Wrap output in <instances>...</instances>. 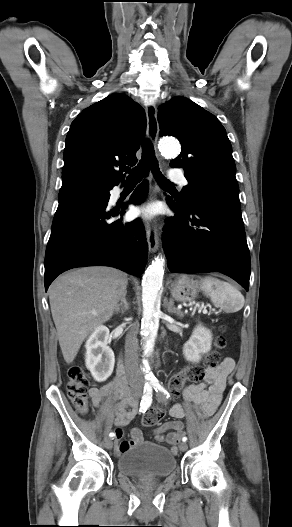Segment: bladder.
<instances>
[{"instance_id": "obj_1", "label": "bladder", "mask_w": 292, "mask_h": 527, "mask_svg": "<svg viewBox=\"0 0 292 527\" xmlns=\"http://www.w3.org/2000/svg\"><path fill=\"white\" fill-rule=\"evenodd\" d=\"M116 467L126 476L143 480L158 479L175 471L176 458L169 448L145 441L120 453Z\"/></svg>"}]
</instances>
